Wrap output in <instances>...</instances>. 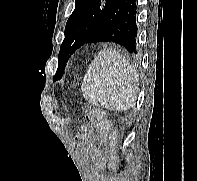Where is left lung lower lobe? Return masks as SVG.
Returning a JSON list of instances; mask_svg holds the SVG:
<instances>
[{"mask_svg": "<svg viewBox=\"0 0 197 181\" xmlns=\"http://www.w3.org/2000/svg\"><path fill=\"white\" fill-rule=\"evenodd\" d=\"M136 0H113L87 43L113 42L137 53Z\"/></svg>", "mask_w": 197, "mask_h": 181, "instance_id": "1", "label": "left lung lower lobe"}]
</instances>
